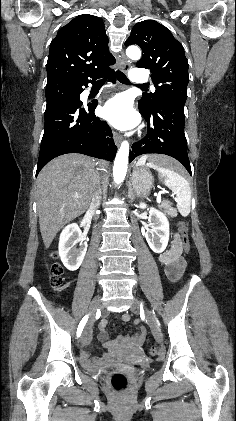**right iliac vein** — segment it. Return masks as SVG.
Segmentation results:
<instances>
[{"label": "right iliac vein", "instance_id": "obj_1", "mask_svg": "<svg viewBox=\"0 0 236 421\" xmlns=\"http://www.w3.org/2000/svg\"><path fill=\"white\" fill-rule=\"evenodd\" d=\"M100 300H101V296L98 295L92 300V302L90 304L89 320L87 322L85 330L83 331L82 341H84L86 339V337L88 336V334L90 333V330H91L92 325H93L92 318H93L94 314L96 313V311L98 309V306L100 304Z\"/></svg>", "mask_w": 236, "mask_h": 421}]
</instances>
